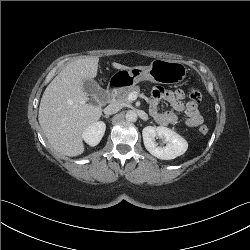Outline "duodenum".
<instances>
[{"mask_svg": "<svg viewBox=\"0 0 250 250\" xmlns=\"http://www.w3.org/2000/svg\"><path fill=\"white\" fill-rule=\"evenodd\" d=\"M120 85V81L119 80H112L107 88L105 89L104 92V100L105 102H110L112 100L113 94L115 89Z\"/></svg>", "mask_w": 250, "mask_h": 250, "instance_id": "410a0bca", "label": "duodenum"}]
</instances>
